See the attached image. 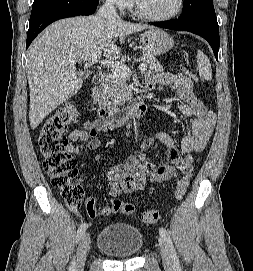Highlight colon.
<instances>
[{
    "label": "colon",
    "instance_id": "1",
    "mask_svg": "<svg viewBox=\"0 0 253 271\" xmlns=\"http://www.w3.org/2000/svg\"><path fill=\"white\" fill-rule=\"evenodd\" d=\"M184 72L192 76L191 72L185 68ZM76 117V106L72 103L63 105L55 111L43 124L37 138L40 155L43 159V169L51 179L54 187L61 190L63 199L67 206L77 211L83 203L87 211H92L94 201H85L84 190L74 181L77 175V162L67 151L68 139L66 133L69 125ZM190 184V175H184L177 183L175 195L182 198ZM113 212H121L132 215L137 212V207L132 203H124L114 199L111 203ZM160 216L156 210H145L140 214V219L146 224H155Z\"/></svg>",
    "mask_w": 253,
    "mask_h": 271
}]
</instances>
